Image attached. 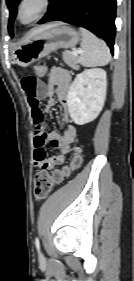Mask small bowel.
I'll use <instances>...</instances> for the list:
<instances>
[{"mask_svg":"<svg viewBox=\"0 0 134 281\" xmlns=\"http://www.w3.org/2000/svg\"><path fill=\"white\" fill-rule=\"evenodd\" d=\"M21 87L27 95L31 117L35 127L34 132V164L41 170H50L55 166L62 165L65 155L69 152L70 144L75 140L76 128L70 123L68 116L65 117L66 125L61 134L45 131L44 110L56 104L54 94L63 105L68 104V89L71 83L70 73L60 67H52L47 82L41 81L34 75L22 77ZM44 109H42V106ZM57 149V153L47 157L46 146Z\"/></svg>","mask_w":134,"mask_h":281,"instance_id":"1","label":"small bowel"}]
</instances>
